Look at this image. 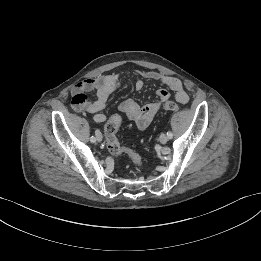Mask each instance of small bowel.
I'll use <instances>...</instances> for the list:
<instances>
[{"label": "small bowel", "mask_w": 261, "mask_h": 261, "mask_svg": "<svg viewBox=\"0 0 261 261\" xmlns=\"http://www.w3.org/2000/svg\"><path fill=\"white\" fill-rule=\"evenodd\" d=\"M139 74L148 80L157 81L165 87L156 92V101L146 103L143 106H140L133 99H126L120 103L119 111L133 121L140 130H144L149 126L162 103L170 97V91L174 93V98L179 103L189 101V95L178 78L154 70L139 71ZM144 85L145 82L138 79L134 84L135 90H141ZM120 86V74L118 73L85 79L74 85L71 90L72 106L78 112L93 114L94 122L102 123L106 120V116L102 111L107 104L108 98ZM93 92L95 93V99L91 100L88 95Z\"/></svg>", "instance_id": "obj_1"}]
</instances>
